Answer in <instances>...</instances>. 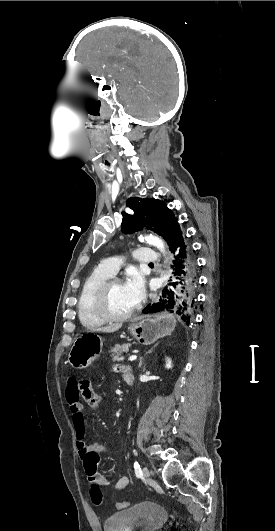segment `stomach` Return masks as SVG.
Returning <instances> with one entry per match:
<instances>
[{
    "label": "stomach",
    "instance_id": "obj_1",
    "mask_svg": "<svg viewBox=\"0 0 275 531\" xmlns=\"http://www.w3.org/2000/svg\"><path fill=\"white\" fill-rule=\"evenodd\" d=\"M176 319L170 313H160L153 317H140L131 321L129 331L140 345H152L157 339L166 337L174 331ZM102 337L94 331H86L75 339L68 357V363L74 369H86L102 353Z\"/></svg>",
    "mask_w": 275,
    "mask_h": 531
}]
</instances>
